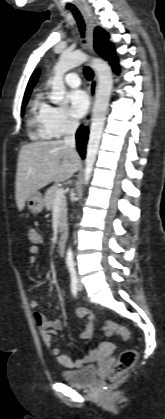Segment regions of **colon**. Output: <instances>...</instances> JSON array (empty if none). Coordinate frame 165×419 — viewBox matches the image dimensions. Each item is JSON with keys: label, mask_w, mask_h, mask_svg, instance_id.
Listing matches in <instances>:
<instances>
[{"label": "colon", "mask_w": 165, "mask_h": 419, "mask_svg": "<svg viewBox=\"0 0 165 419\" xmlns=\"http://www.w3.org/2000/svg\"><path fill=\"white\" fill-rule=\"evenodd\" d=\"M29 240L32 243H37L39 241L38 234L35 231L30 230ZM102 329L104 331V334L106 335L116 334V335L121 336L125 341L130 340L129 330L117 323H113V322L104 323L102 325ZM137 357H138V352L136 349L128 348V349L123 350L119 354L116 362L113 365L110 377L118 378L124 373H126L128 370H130L134 366L137 360Z\"/></svg>", "instance_id": "5ec220e1"}]
</instances>
